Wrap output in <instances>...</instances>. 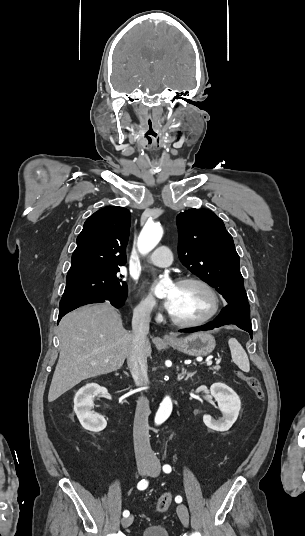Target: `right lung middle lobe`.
<instances>
[{"instance_id": "dd1d6c3e", "label": "right lung middle lobe", "mask_w": 305, "mask_h": 536, "mask_svg": "<svg viewBox=\"0 0 305 536\" xmlns=\"http://www.w3.org/2000/svg\"><path fill=\"white\" fill-rule=\"evenodd\" d=\"M118 272L115 269L67 278L63 297L85 295L125 300L128 288Z\"/></svg>"}]
</instances>
